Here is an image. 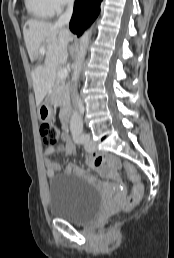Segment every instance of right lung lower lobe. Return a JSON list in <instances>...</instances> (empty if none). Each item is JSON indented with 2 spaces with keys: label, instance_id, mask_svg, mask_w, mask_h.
<instances>
[{
  "label": "right lung lower lobe",
  "instance_id": "1",
  "mask_svg": "<svg viewBox=\"0 0 174 258\" xmlns=\"http://www.w3.org/2000/svg\"><path fill=\"white\" fill-rule=\"evenodd\" d=\"M102 0H76L70 21V30L78 37L83 33L100 12Z\"/></svg>",
  "mask_w": 174,
  "mask_h": 258
}]
</instances>
